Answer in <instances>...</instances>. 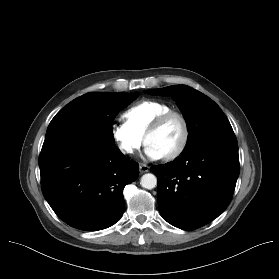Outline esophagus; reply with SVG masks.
<instances>
[{
    "instance_id": "obj_1",
    "label": "esophagus",
    "mask_w": 279,
    "mask_h": 279,
    "mask_svg": "<svg viewBox=\"0 0 279 279\" xmlns=\"http://www.w3.org/2000/svg\"><path fill=\"white\" fill-rule=\"evenodd\" d=\"M149 166H147L146 164H140V172L141 173H146L149 171Z\"/></svg>"
}]
</instances>
